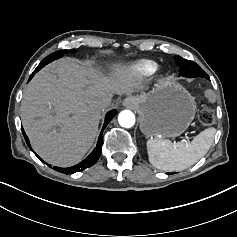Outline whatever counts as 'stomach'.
<instances>
[{
    "label": "stomach",
    "instance_id": "obj_1",
    "mask_svg": "<svg viewBox=\"0 0 237 237\" xmlns=\"http://www.w3.org/2000/svg\"><path fill=\"white\" fill-rule=\"evenodd\" d=\"M132 98L140 130L149 137H177L195 117V98L172 78L159 79L150 91Z\"/></svg>",
    "mask_w": 237,
    "mask_h": 237
}]
</instances>
